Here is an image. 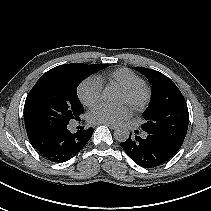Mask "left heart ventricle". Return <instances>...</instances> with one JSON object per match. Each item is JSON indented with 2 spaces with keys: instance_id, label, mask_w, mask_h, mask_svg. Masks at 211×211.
<instances>
[{
  "instance_id": "left-heart-ventricle-1",
  "label": "left heart ventricle",
  "mask_w": 211,
  "mask_h": 211,
  "mask_svg": "<svg viewBox=\"0 0 211 211\" xmlns=\"http://www.w3.org/2000/svg\"><path fill=\"white\" fill-rule=\"evenodd\" d=\"M121 102L122 103H127L128 102L127 96L124 93H122Z\"/></svg>"
}]
</instances>
